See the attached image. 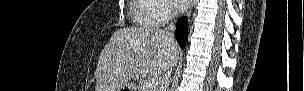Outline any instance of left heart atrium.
<instances>
[{
  "label": "left heart atrium",
  "mask_w": 304,
  "mask_h": 91,
  "mask_svg": "<svg viewBox=\"0 0 304 91\" xmlns=\"http://www.w3.org/2000/svg\"><path fill=\"white\" fill-rule=\"evenodd\" d=\"M172 7L178 11H184L189 7V0H170Z\"/></svg>",
  "instance_id": "39dd6f15"
}]
</instances>
